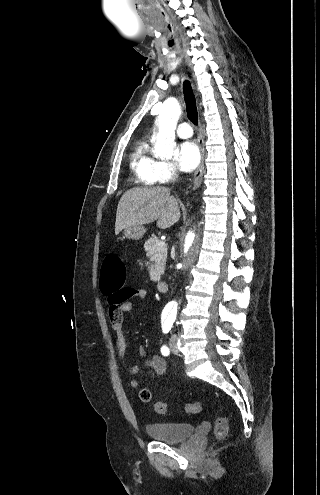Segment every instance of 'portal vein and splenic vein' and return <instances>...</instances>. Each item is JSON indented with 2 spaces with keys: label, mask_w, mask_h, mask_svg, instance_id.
Wrapping results in <instances>:
<instances>
[{
  "label": "portal vein and splenic vein",
  "mask_w": 320,
  "mask_h": 495,
  "mask_svg": "<svg viewBox=\"0 0 320 495\" xmlns=\"http://www.w3.org/2000/svg\"><path fill=\"white\" fill-rule=\"evenodd\" d=\"M158 245H159V247H162V246L165 245V242L164 241H161V242L158 243Z\"/></svg>",
  "instance_id": "1"
}]
</instances>
